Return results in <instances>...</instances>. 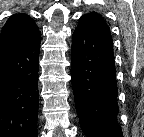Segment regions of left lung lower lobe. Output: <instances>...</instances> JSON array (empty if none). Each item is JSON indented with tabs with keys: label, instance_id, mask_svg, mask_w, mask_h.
<instances>
[{
	"label": "left lung lower lobe",
	"instance_id": "0a47b994",
	"mask_svg": "<svg viewBox=\"0 0 144 137\" xmlns=\"http://www.w3.org/2000/svg\"><path fill=\"white\" fill-rule=\"evenodd\" d=\"M71 75L75 108L87 137H122L109 30L81 21L73 33Z\"/></svg>",
	"mask_w": 144,
	"mask_h": 137
}]
</instances>
